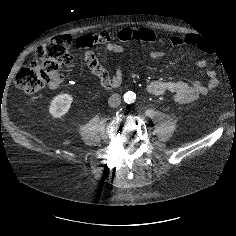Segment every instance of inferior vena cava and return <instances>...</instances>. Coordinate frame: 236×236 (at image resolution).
<instances>
[{
	"instance_id": "inferior-vena-cava-1",
	"label": "inferior vena cava",
	"mask_w": 236,
	"mask_h": 236,
	"mask_svg": "<svg viewBox=\"0 0 236 236\" xmlns=\"http://www.w3.org/2000/svg\"><path fill=\"white\" fill-rule=\"evenodd\" d=\"M121 103V96L119 94H112L108 99V104L112 108H116Z\"/></svg>"
}]
</instances>
